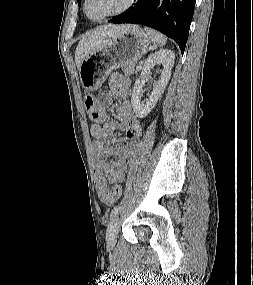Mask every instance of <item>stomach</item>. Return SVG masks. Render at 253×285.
I'll return each instance as SVG.
<instances>
[{
	"label": "stomach",
	"instance_id": "1",
	"mask_svg": "<svg viewBox=\"0 0 253 285\" xmlns=\"http://www.w3.org/2000/svg\"><path fill=\"white\" fill-rule=\"evenodd\" d=\"M151 41L143 29L134 26L85 56L79 67V78L84 90L99 89L111 71L140 60Z\"/></svg>",
	"mask_w": 253,
	"mask_h": 285
}]
</instances>
